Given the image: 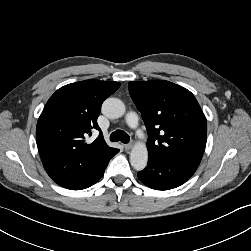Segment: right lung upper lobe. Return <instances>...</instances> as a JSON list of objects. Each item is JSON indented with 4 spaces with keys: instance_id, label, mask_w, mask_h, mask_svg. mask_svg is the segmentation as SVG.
<instances>
[{
    "instance_id": "obj_1",
    "label": "right lung upper lobe",
    "mask_w": 251,
    "mask_h": 251,
    "mask_svg": "<svg viewBox=\"0 0 251 251\" xmlns=\"http://www.w3.org/2000/svg\"><path fill=\"white\" fill-rule=\"evenodd\" d=\"M119 82L84 80L58 89L46 103L36 127L43 166L52 179L69 180L96 170L112 154L100 132L91 144L85 137L100 131L97 118L103 101Z\"/></svg>"
}]
</instances>
